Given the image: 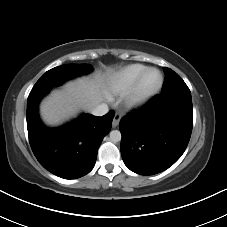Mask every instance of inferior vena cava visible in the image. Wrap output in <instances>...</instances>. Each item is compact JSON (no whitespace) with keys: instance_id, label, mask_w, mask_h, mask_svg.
I'll list each match as a JSON object with an SVG mask.
<instances>
[{"instance_id":"1","label":"inferior vena cava","mask_w":227,"mask_h":227,"mask_svg":"<svg viewBox=\"0 0 227 227\" xmlns=\"http://www.w3.org/2000/svg\"><path fill=\"white\" fill-rule=\"evenodd\" d=\"M108 106L105 103L99 104L91 110L94 116H103L108 113Z\"/></svg>"}]
</instances>
